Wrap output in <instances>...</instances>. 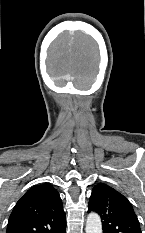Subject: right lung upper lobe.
Segmentation results:
<instances>
[{"label":"right lung upper lobe","instance_id":"obj_1","mask_svg":"<svg viewBox=\"0 0 145 233\" xmlns=\"http://www.w3.org/2000/svg\"><path fill=\"white\" fill-rule=\"evenodd\" d=\"M66 224L58 191L50 184L29 189L9 217L6 233H55Z\"/></svg>","mask_w":145,"mask_h":233}]
</instances>
